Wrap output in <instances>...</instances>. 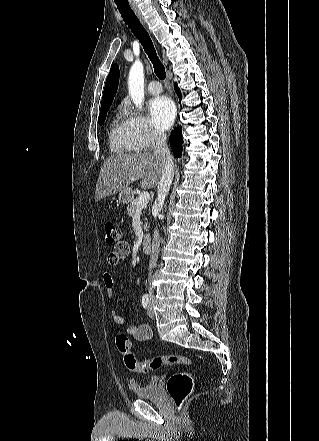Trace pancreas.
<instances>
[{"mask_svg": "<svg viewBox=\"0 0 319 441\" xmlns=\"http://www.w3.org/2000/svg\"><path fill=\"white\" fill-rule=\"evenodd\" d=\"M138 201L139 198H135L133 200L130 201V204L127 207V215L129 216H134L136 213H139L142 211H138ZM144 229H147V224L144 225Z\"/></svg>", "mask_w": 319, "mask_h": 441, "instance_id": "obj_1", "label": "pancreas"}]
</instances>
